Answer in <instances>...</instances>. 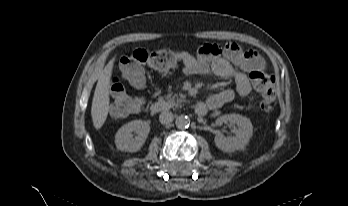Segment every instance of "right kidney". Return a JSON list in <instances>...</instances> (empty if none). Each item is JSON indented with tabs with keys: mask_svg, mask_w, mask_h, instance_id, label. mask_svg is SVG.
Returning a JSON list of instances; mask_svg holds the SVG:
<instances>
[{
	"mask_svg": "<svg viewBox=\"0 0 348 206\" xmlns=\"http://www.w3.org/2000/svg\"><path fill=\"white\" fill-rule=\"evenodd\" d=\"M149 132L150 125L146 121L134 120L126 123L115 135L116 147L120 151L137 152L145 143Z\"/></svg>",
	"mask_w": 348,
	"mask_h": 206,
	"instance_id": "right-kidney-1",
	"label": "right kidney"
}]
</instances>
